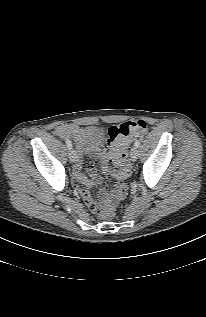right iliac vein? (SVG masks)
<instances>
[{"label":"right iliac vein","instance_id":"63e3f726","mask_svg":"<svg viewBox=\"0 0 206 317\" xmlns=\"http://www.w3.org/2000/svg\"><path fill=\"white\" fill-rule=\"evenodd\" d=\"M69 159L71 162H75L76 161V152L74 149H70L69 151Z\"/></svg>","mask_w":206,"mask_h":317}]
</instances>
